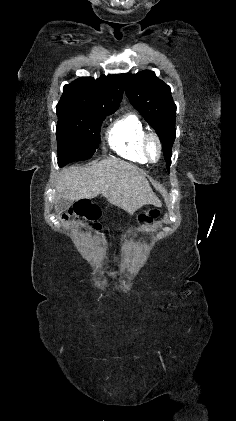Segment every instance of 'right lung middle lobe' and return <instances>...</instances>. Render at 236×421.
Returning a JSON list of instances; mask_svg holds the SVG:
<instances>
[{"mask_svg": "<svg viewBox=\"0 0 236 421\" xmlns=\"http://www.w3.org/2000/svg\"><path fill=\"white\" fill-rule=\"evenodd\" d=\"M116 110L95 105L59 102L56 108L59 166L90 159L100 143L101 123L107 115L113 114Z\"/></svg>", "mask_w": 236, "mask_h": 421, "instance_id": "dd1d6c3e", "label": "right lung middle lobe"}]
</instances>
